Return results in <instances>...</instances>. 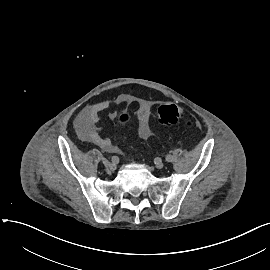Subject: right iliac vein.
<instances>
[{
  "mask_svg": "<svg viewBox=\"0 0 270 270\" xmlns=\"http://www.w3.org/2000/svg\"><path fill=\"white\" fill-rule=\"evenodd\" d=\"M102 163L108 171H113L116 168L115 164L110 163L106 158L102 159Z\"/></svg>",
  "mask_w": 270,
  "mask_h": 270,
  "instance_id": "1",
  "label": "right iliac vein"
}]
</instances>
